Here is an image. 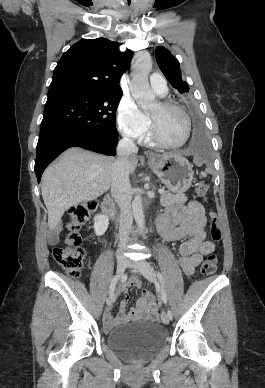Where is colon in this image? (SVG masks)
<instances>
[{"label": "colon", "mask_w": 265, "mask_h": 388, "mask_svg": "<svg viewBox=\"0 0 265 388\" xmlns=\"http://www.w3.org/2000/svg\"><path fill=\"white\" fill-rule=\"evenodd\" d=\"M208 185L201 182L196 187V193L202 198H206L208 193ZM97 208V202L86 201L73 205L68 210V222L66 224V236L64 238V246L56 247L53 251V256L56 262L61 265L69 276L76 278L80 275L85 263V251L81 247L82 237L79 233L80 227L86 223ZM210 234L214 242L221 240V229L219 220L214 212L210 213ZM218 265L216 255L209 254L204 259L201 265V273L203 275L213 274ZM143 299L149 304L156 303L155 295L148 291H142Z\"/></svg>", "instance_id": "colon-1"}]
</instances>
